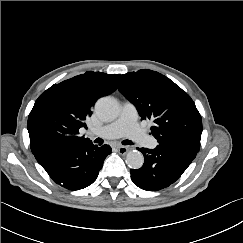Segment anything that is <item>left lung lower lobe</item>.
<instances>
[{
	"label": "left lung lower lobe",
	"mask_w": 243,
	"mask_h": 243,
	"mask_svg": "<svg viewBox=\"0 0 243 243\" xmlns=\"http://www.w3.org/2000/svg\"><path fill=\"white\" fill-rule=\"evenodd\" d=\"M200 148V142L178 140L159 144L155 149L138 148L144 155L140 169H131L132 181L146 191H157L174 183L187 169Z\"/></svg>",
	"instance_id": "obj_1"
}]
</instances>
